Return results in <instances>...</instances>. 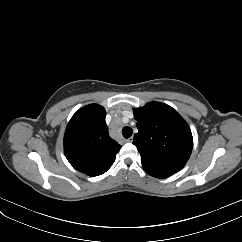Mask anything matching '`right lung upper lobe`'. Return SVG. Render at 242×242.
I'll list each match as a JSON object with an SVG mask.
<instances>
[{
  "instance_id": "cb5924a9",
  "label": "right lung upper lobe",
  "mask_w": 242,
  "mask_h": 242,
  "mask_svg": "<svg viewBox=\"0 0 242 242\" xmlns=\"http://www.w3.org/2000/svg\"><path fill=\"white\" fill-rule=\"evenodd\" d=\"M105 116L102 106L87 105L73 115L65 131L67 160L76 170L89 176L105 173L122 147L110 138Z\"/></svg>"
}]
</instances>
